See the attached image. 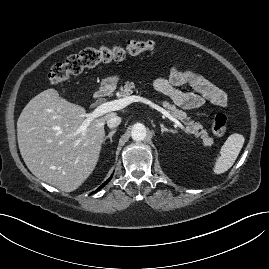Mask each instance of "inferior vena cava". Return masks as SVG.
<instances>
[{"mask_svg":"<svg viewBox=\"0 0 269 269\" xmlns=\"http://www.w3.org/2000/svg\"><path fill=\"white\" fill-rule=\"evenodd\" d=\"M121 123V118L117 115H111L108 119H107V126L109 128H115L117 127L119 124Z\"/></svg>","mask_w":269,"mask_h":269,"instance_id":"inferior-vena-cava-1","label":"inferior vena cava"}]
</instances>
